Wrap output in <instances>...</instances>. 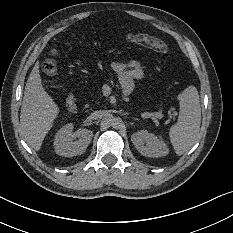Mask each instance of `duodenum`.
<instances>
[{"label": "duodenum", "instance_id": "obj_1", "mask_svg": "<svg viewBox=\"0 0 233 233\" xmlns=\"http://www.w3.org/2000/svg\"><path fill=\"white\" fill-rule=\"evenodd\" d=\"M66 107L71 113H75L77 111L76 98L73 94L68 95L66 98Z\"/></svg>", "mask_w": 233, "mask_h": 233}]
</instances>
